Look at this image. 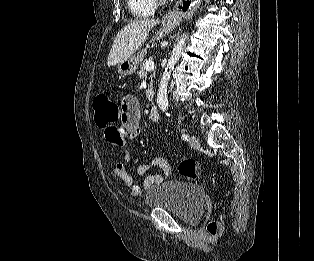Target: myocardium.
Segmentation results:
<instances>
[{
	"label": "myocardium",
	"mask_w": 314,
	"mask_h": 261,
	"mask_svg": "<svg viewBox=\"0 0 314 261\" xmlns=\"http://www.w3.org/2000/svg\"><path fill=\"white\" fill-rule=\"evenodd\" d=\"M158 2H162L163 0H157Z\"/></svg>",
	"instance_id": "obj_1"
}]
</instances>
